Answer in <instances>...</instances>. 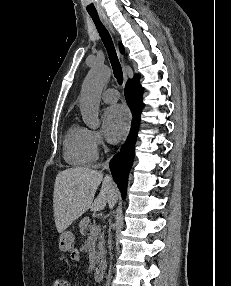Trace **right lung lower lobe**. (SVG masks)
I'll use <instances>...</instances> for the list:
<instances>
[{"instance_id":"1","label":"right lung lower lobe","mask_w":231,"mask_h":286,"mask_svg":"<svg viewBox=\"0 0 231 286\" xmlns=\"http://www.w3.org/2000/svg\"><path fill=\"white\" fill-rule=\"evenodd\" d=\"M142 92L138 76H135L133 80L127 82L125 97L133 113V123L131 132L120 153L115 155L110 162V169L114 181L117 183L123 198L126 196L127 178L134 158V145L140 122V112L143 108Z\"/></svg>"}]
</instances>
